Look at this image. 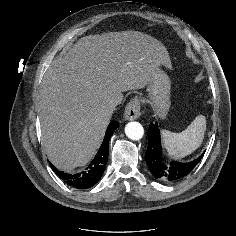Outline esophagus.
<instances>
[{"label":"esophagus","instance_id":"1","mask_svg":"<svg viewBox=\"0 0 236 236\" xmlns=\"http://www.w3.org/2000/svg\"><path fill=\"white\" fill-rule=\"evenodd\" d=\"M141 115V104L138 98L132 99L125 107L124 118L127 121L136 120Z\"/></svg>","mask_w":236,"mask_h":236}]
</instances>
